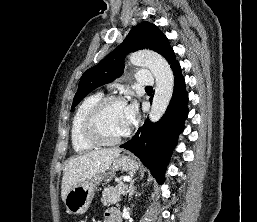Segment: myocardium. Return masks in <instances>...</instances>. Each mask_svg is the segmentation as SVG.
Listing matches in <instances>:
<instances>
[{
    "label": "myocardium",
    "instance_id": "myocardium-1",
    "mask_svg": "<svg viewBox=\"0 0 257 222\" xmlns=\"http://www.w3.org/2000/svg\"><path fill=\"white\" fill-rule=\"evenodd\" d=\"M112 104L125 105V101L117 96L103 97L90 108L85 116L83 122L84 135L97 146H113L119 144L129 135V129L126 133L115 139L106 138L101 134L98 124L99 118L105 109Z\"/></svg>",
    "mask_w": 257,
    "mask_h": 222
}]
</instances>
